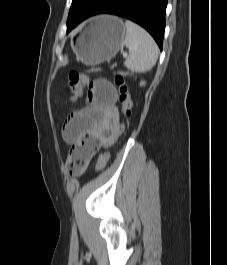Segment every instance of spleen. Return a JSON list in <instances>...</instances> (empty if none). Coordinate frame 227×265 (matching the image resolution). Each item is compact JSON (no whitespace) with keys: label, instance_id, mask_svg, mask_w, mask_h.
I'll return each instance as SVG.
<instances>
[{"label":"spleen","instance_id":"spleen-1","mask_svg":"<svg viewBox=\"0 0 227 265\" xmlns=\"http://www.w3.org/2000/svg\"><path fill=\"white\" fill-rule=\"evenodd\" d=\"M125 29L123 45L128 48L130 55L124 65L138 73L152 69L159 55V49L154 39L147 31L132 21L125 22Z\"/></svg>","mask_w":227,"mask_h":265}]
</instances>
